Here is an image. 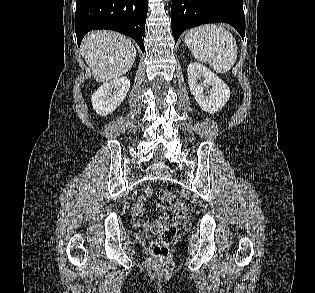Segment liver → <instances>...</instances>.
<instances>
[{
  "mask_svg": "<svg viewBox=\"0 0 315 293\" xmlns=\"http://www.w3.org/2000/svg\"><path fill=\"white\" fill-rule=\"evenodd\" d=\"M81 53L96 82H107L124 75L136 58L131 40L113 31L89 33L82 41Z\"/></svg>",
  "mask_w": 315,
  "mask_h": 293,
  "instance_id": "1",
  "label": "liver"
}]
</instances>
